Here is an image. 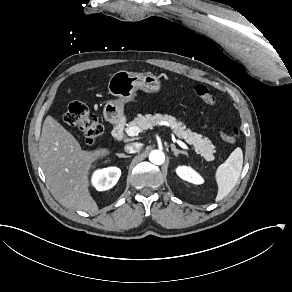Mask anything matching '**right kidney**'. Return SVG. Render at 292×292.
<instances>
[{"label": "right kidney", "instance_id": "obj_1", "mask_svg": "<svg viewBox=\"0 0 292 292\" xmlns=\"http://www.w3.org/2000/svg\"><path fill=\"white\" fill-rule=\"evenodd\" d=\"M121 171L118 168H107L98 171L93 179L97 190H108L112 188L119 180Z\"/></svg>", "mask_w": 292, "mask_h": 292}]
</instances>
